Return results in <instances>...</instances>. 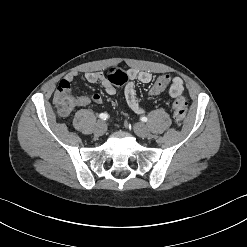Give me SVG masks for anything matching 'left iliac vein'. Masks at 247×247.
I'll return each mask as SVG.
<instances>
[{"instance_id": "obj_1", "label": "left iliac vein", "mask_w": 247, "mask_h": 247, "mask_svg": "<svg viewBox=\"0 0 247 247\" xmlns=\"http://www.w3.org/2000/svg\"><path fill=\"white\" fill-rule=\"evenodd\" d=\"M133 129H134V132L141 138H146L150 136L149 128L142 123L135 124Z\"/></svg>"}]
</instances>
